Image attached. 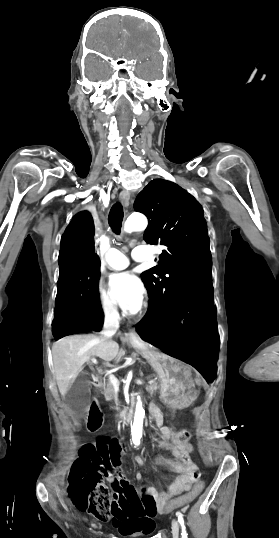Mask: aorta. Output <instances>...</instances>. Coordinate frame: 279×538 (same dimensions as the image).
Returning a JSON list of instances; mask_svg holds the SVG:
<instances>
[{"instance_id":"762f6f07","label":"aorta","mask_w":279,"mask_h":538,"mask_svg":"<svg viewBox=\"0 0 279 538\" xmlns=\"http://www.w3.org/2000/svg\"><path fill=\"white\" fill-rule=\"evenodd\" d=\"M147 225H148V221L144 215L132 214L127 218L124 224V231L127 233H131L134 231H143L146 229ZM143 418H144V410H143L141 398L140 396H138L136 409H135L134 422H133V425L131 426L132 441L135 445L140 444V439L142 437V429H143Z\"/></svg>"}]
</instances>
